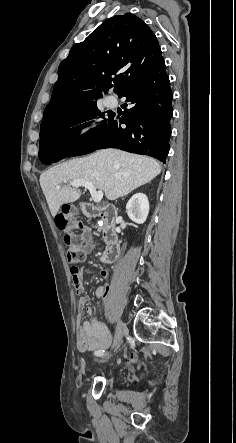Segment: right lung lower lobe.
Here are the masks:
<instances>
[{
    "mask_svg": "<svg viewBox=\"0 0 236 443\" xmlns=\"http://www.w3.org/2000/svg\"><path fill=\"white\" fill-rule=\"evenodd\" d=\"M118 96L126 97L131 105L120 119L114 120L115 114L111 113L108 124L104 121L103 125L71 145L40 148L41 162L51 164L65 157L87 154L100 148H119L149 155L165 163L171 135L173 94L163 57ZM122 124L126 127L122 128Z\"/></svg>",
    "mask_w": 236,
    "mask_h": 443,
    "instance_id": "1",
    "label": "right lung lower lobe"
}]
</instances>
